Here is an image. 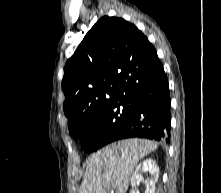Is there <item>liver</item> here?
<instances>
[{
	"label": "liver",
	"mask_w": 221,
	"mask_h": 193,
	"mask_svg": "<svg viewBox=\"0 0 221 193\" xmlns=\"http://www.w3.org/2000/svg\"><path fill=\"white\" fill-rule=\"evenodd\" d=\"M157 147L154 141L126 139L98 150L87 161L79 193H126L138 162Z\"/></svg>",
	"instance_id": "obj_1"
}]
</instances>
